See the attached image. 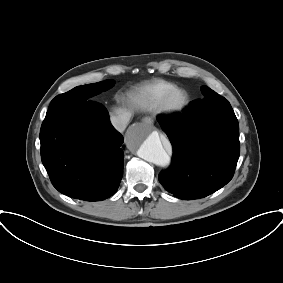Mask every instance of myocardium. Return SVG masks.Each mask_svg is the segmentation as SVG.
Returning <instances> with one entry per match:
<instances>
[{"label":"myocardium","instance_id":"1","mask_svg":"<svg viewBox=\"0 0 283 283\" xmlns=\"http://www.w3.org/2000/svg\"><path fill=\"white\" fill-rule=\"evenodd\" d=\"M188 103V93L184 89L174 88L161 97L158 108L165 114H176L184 110Z\"/></svg>","mask_w":283,"mask_h":283}]
</instances>
